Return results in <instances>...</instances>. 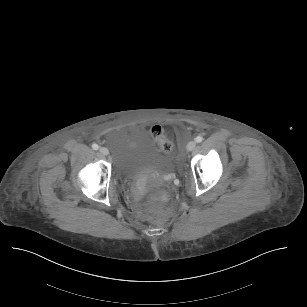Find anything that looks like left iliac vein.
<instances>
[{
	"mask_svg": "<svg viewBox=\"0 0 307 307\" xmlns=\"http://www.w3.org/2000/svg\"><path fill=\"white\" fill-rule=\"evenodd\" d=\"M196 146V142L195 141H190L188 144H187V150L188 151H192Z\"/></svg>",
	"mask_w": 307,
	"mask_h": 307,
	"instance_id": "4c4485c4",
	"label": "left iliac vein"
}]
</instances>
